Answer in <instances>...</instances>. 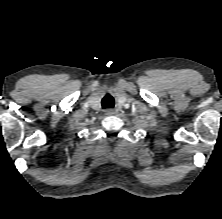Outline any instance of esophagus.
<instances>
[{
  "label": "esophagus",
  "instance_id": "34e87169",
  "mask_svg": "<svg viewBox=\"0 0 222 219\" xmlns=\"http://www.w3.org/2000/svg\"><path fill=\"white\" fill-rule=\"evenodd\" d=\"M105 113H106L107 115H111V114L114 113V110L111 109V108H108V109L105 110Z\"/></svg>",
  "mask_w": 222,
  "mask_h": 219
}]
</instances>
